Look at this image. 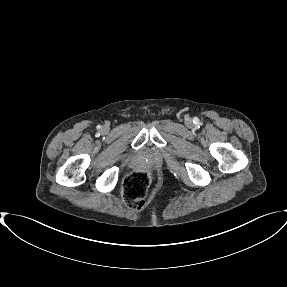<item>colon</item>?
Wrapping results in <instances>:
<instances>
[{
	"mask_svg": "<svg viewBox=\"0 0 287 287\" xmlns=\"http://www.w3.org/2000/svg\"><path fill=\"white\" fill-rule=\"evenodd\" d=\"M150 177L147 172L136 171L129 174L122 185V197L125 203L133 209L145 205Z\"/></svg>",
	"mask_w": 287,
	"mask_h": 287,
	"instance_id": "5ec220e1",
	"label": "colon"
}]
</instances>
